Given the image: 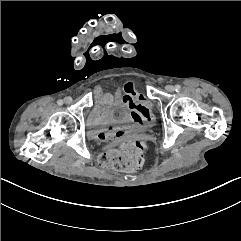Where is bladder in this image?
<instances>
[{"label": "bladder", "mask_w": 241, "mask_h": 241, "mask_svg": "<svg viewBox=\"0 0 241 241\" xmlns=\"http://www.w3.org/2000/svg\"><path fill=\"white\" fill-rule=\"evenodd\" d=\"M129 110L122 100H117L114 107L108 112V119L112 123H123L127 120Z\"/></svg>", "instance_id": "bladder-1"}]
</instances>
